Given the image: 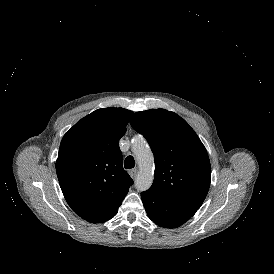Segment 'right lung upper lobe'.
I'll list each match as a JSON object with an SVG mask.
<instances>
[{"instance_id":"obj_1","label":"right lung upper lobe","mask_w":274,"mask_h":274,"mask_svg":"<svg viewBox=\"0 0 274 274\" xmlns=\"http://www.w3.org/2000/svg\"><path fill=\"white\" fill-rule=\"evenodd\" d=\"M132 115L123 108L95 110L61 141L56 161L59 184L69 206L88 222L113 218L133 184L119 149Z\"/></svg>"}]
</instances>
